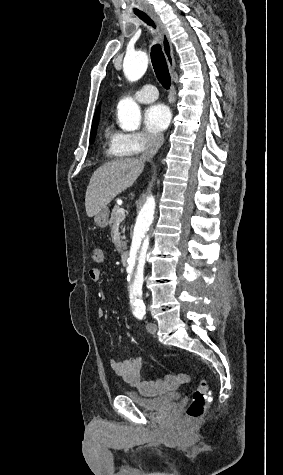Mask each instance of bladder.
<instances>
[{"label":"bladder","mask_w":283,"mask_h":475,"mask_svg":"<svg viewBox=\"0 0 283 475\" xmlns=\"http://www.w3.org/2000/svg\"><path fill=\"white\" fill-rule=\"evenodd\" d=\"M124 395L135 405L148 411H159L164 407L177 406L180 403V397H176L171 394H163L159 397L143 398L137 391L126 389L124 391Z\"/></svg>","instance_id":"31cf9c89"}]
</instances>
